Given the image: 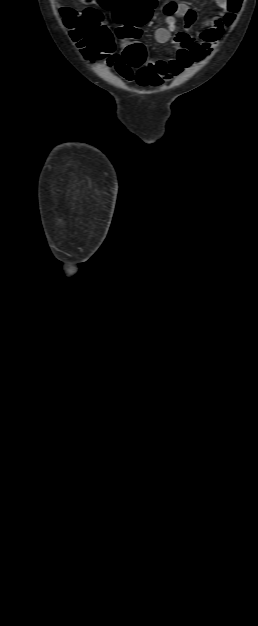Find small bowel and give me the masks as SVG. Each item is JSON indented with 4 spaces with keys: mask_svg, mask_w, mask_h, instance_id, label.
I'll return each instance as SVG.
<instances>
[{
    "mask_svg": "<svg viewBox=\"0 0 258 626\" xmlns=\"http://www.w3.org/2000/svg\"><path fill=\"white\" fill-rule=\"evenodd\" d=\"M222 12L210 18L208 26L197 34L190 33L196 22V12L187 4L167 2L163 7L165 26L155 31V39L165 44L176 32V19H182L186 31L177 32L173 38L177 46L174 58L168 60H148L138 70H134L122 54H111L108 65L126 82H136L140 86L158 87L189 69L193 64L208 57L218 44L224 31V14L227 0H212Z\"/></svg>",
    "mask_w": 258,
    "mask_h": 626,
    "instance_id": "obj_1",
    "label": "small bowel"
}]
</instances>
